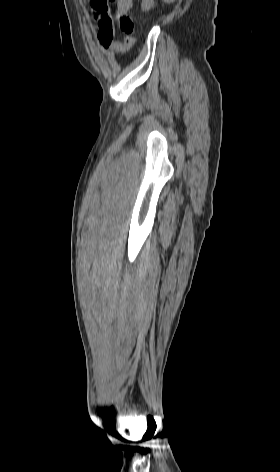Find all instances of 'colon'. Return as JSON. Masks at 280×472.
I'll return each mask as SVG.
<instances>
[{
	"instance_id": "1",
	"label": "colon",
	"mask_w": 280,
	"mask_h": 472,
	"mask_svg": "<svg viewBox=\"0 0 280 472\" xmlns=\"http://www.w3.org/2000/svg\"><path fill=\"white\" fill-rule=\"evenodd\" d=\"M115 0H90L91 7L94 12L95 19L98 24L105 26L112 21L109 14V7ZM118 22L122 32L126 37L130 38L129 46L133 44L131 35L134 32V23L128 15H118Z\"/></svg>"
}]
</instances>
